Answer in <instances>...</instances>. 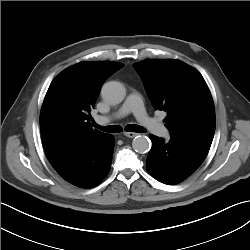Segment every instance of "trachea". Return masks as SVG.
Listing matches in <instances>:
<instances>
[{"instance_id": "3493384b", "label": "trachea", "mask_w": 250, "mask_h": 250, "mask_svg": "<svg viewBox=\"0 0 250 250\" xmlns=\"http://www.w3.org/2000/svg\"><path fill=\"white\" fill-rule=\"evenodd\" d=\"M93 126L98 128L101 131L108 132V133H119L121 132V127L118 125H111V126H100L97 123H93ZM125 131L128 132H137L142 133L144 129L136 124H129L125 127Z\"/></svg>"}]
</instances>
